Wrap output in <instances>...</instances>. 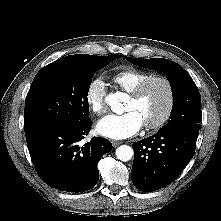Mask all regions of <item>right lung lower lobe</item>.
<instances>
[{"label": "right lung lower lobe", "mask_w": 221, "mask_h": 221, "mask_svg": "<svg viewBox=\"0 0 221 221\" xmlns=\"http://www.w3.org/2000/svg\"><path fill=\"white\" fill-rule=\"evenodd\" d=\"M83 124L52 123L26 135L27 146L40 178L50 187L66 192H84L99 180L97 164L112 150L104 138L93 137L79 145L91 129Z\"/></svg>", "instance_id": "obj_1"}]
</instances>
